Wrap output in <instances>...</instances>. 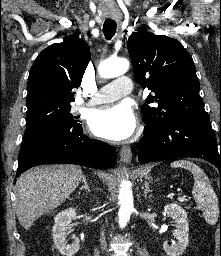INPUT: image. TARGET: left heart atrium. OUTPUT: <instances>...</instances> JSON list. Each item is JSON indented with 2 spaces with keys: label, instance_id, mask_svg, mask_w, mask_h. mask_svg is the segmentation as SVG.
Listing matches in <instances>:
<instances>
[{
  "label": "left heart atrium",
  "instance_id": "39dd6f15",
  "mask_svg": "<svg viewBox=\"0 0 221 256\" xmlns=\"http://www.w3.org/2000/svg\"><path fill=\"white\" fill-rule=\"evenodd\" d=\"M89 127L98 137L121 141L134 133L137 120L129 105L118 103L95 110L89 118Z\"/></svg>",
  "mask_w": 221,
  "mask_h": 256
}]
</instances>
